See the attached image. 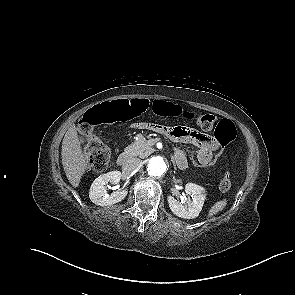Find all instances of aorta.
<instances>
[{"label": "aorta", "mask_w": 295, "mask_h": 295, "mask_svg": "<svg viewBox=\"0 0 295 295\" xmlns=\"http://www.w3.org/2000/svg\"><path fill=\"white\" fill-rule=\"evenodd\" d=\"M167 162L163 157H152L147 165V171L150 176L161 177L167 172Z\"/></svg>", "instance_id": "obj_1"}]
</instances>
